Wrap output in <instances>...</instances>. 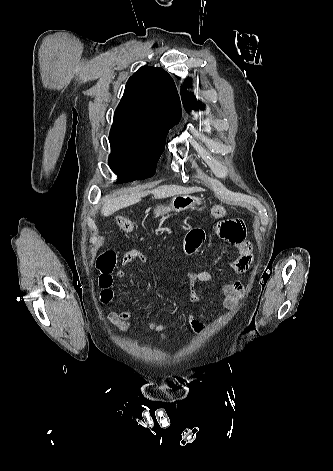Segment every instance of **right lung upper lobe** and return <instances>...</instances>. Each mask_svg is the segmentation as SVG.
<instances>
[{"mask_svg": "<svg viewBox=\"0 0 333 471\" xmlns=\"http://www.w3.org/2000/svg\"><path fill=\"white\" fill-rule=\"evenodd\" d=\"M180 117V99L171 76L162 68L143 66L128 79L113 123L168 132Z\"/></svg>", "mask_w": 333, "mask_h": 471, "instance_id": "right-lung-upper-lobe-1", "label": "right lung upper lobe"}]
</instances>
